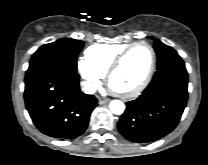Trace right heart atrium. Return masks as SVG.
Listing matches in <instances>:
<instances>
[{
    "instance_id": "obj_1",
    "label": "right heart atrium",
    "mask_w": 208,
    "mask_h": 165,
    "mask_svg": "<svg viewBox=\"0 0 208 165\" xmlns=\"http://www.w3.org/2000/svg\"><path fill=\"white\" fill-rule=\"evenodd\" d=\"M77 69L81 79L82 87L87 90H93L102 78V75L96 71L85 58H79L77 61Z\"/></svg>"
}]
</instances>
